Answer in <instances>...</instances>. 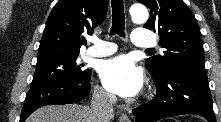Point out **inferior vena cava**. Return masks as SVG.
I'll use <instances>...</instances> for the list:
<instances>
[{"label": "inferior vena cava", "mask_w": 221, "mask_h": 122, "mask_svg": "<svg viewBox=\"0 0 221 122\" xmlns=\"http://www.w3.org/2000/svg\"><path fill=\"white\" fill-rule=\"evenodd\" d=\"M116 97L102 89L96 88L91 100L93 122H110L113 118V104Z\"/></svg>", "instance_id": "inferior-vena-cava-1"}]
</instances>
